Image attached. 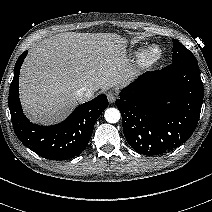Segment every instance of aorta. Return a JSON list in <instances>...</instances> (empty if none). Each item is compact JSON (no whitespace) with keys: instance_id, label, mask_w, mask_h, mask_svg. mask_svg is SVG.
Returning <instances> with one entry per match:
<instances>
[{"instance_id":"762f6f07","label":"aorta","mask_w":212,"mask_h":212,"mask_svg":"<svg viewBox=\"0 0 212 212\" xmlns=\"http://www.w3.org/2000/svg\"><path fill=\"white\" fill-rule=\"evenodd\" d=\"M104 118L108 123H117L121 118V114L117 108H107L104 113Z\"/></svg>"}]
</instances>
